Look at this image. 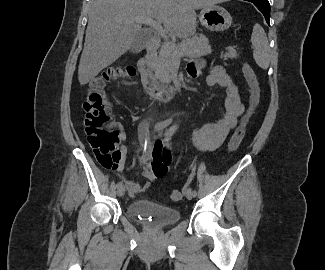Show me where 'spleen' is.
Wrapping results in <instances>:
<instances>
[{"label":"spleen","mask_w":325,"mask_h":270,"mask_svg":"<svg viewBox=\"0 0 325 270\" xmlns=\"http://www.w3.org/2000/svg\"><path fill=\"white\" fill-rule=\"evenodd\" d=\"M253 45V57L258 66L262 69H268L270 63V47L267 35L260 24L256 23L251 35Z\"/></svg>","instance_id":"obj_1"}]
</instances>
